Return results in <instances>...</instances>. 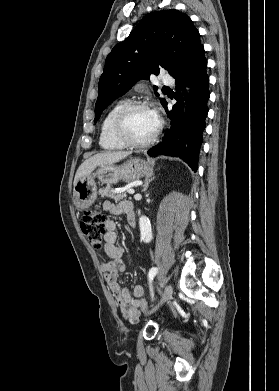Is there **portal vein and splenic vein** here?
I'll return each mask as SVG.
<instances>
[{
    "instance_id": "portal-vein-and-splenic-vein-1",
    "label": "portal vein and splenic vein",
    "mask_w": 279,
    "mask_h": 391,
    "mask_svg": "<svg viewBox=\"0 0 279 391\" xmlns=\"http://www.w3.org/2000/svg\"><path fill=\"white\" fill-rule=\"evenodd\" d=\"M127 193H128V194H134L135 191H134V189H128V190H127Z\"/></svg>"
}]
</instances>
